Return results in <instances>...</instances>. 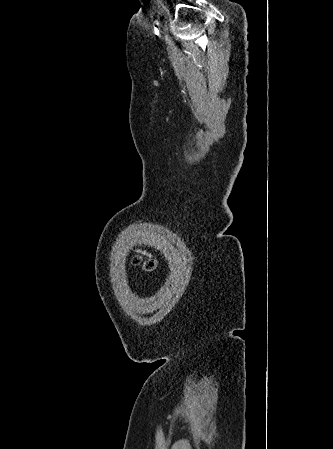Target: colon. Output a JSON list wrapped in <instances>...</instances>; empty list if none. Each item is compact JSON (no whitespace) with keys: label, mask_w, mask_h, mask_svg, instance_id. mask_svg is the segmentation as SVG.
Wrapping results in <instances>:
<instances>
[{"label":"colon","mask_w":333,"mask_h":449,"mask_svg":"<svg viewBox=\"0 0 333 449\" xmlns=\"http://www.w3.org/2000/svg\"><path fill=\"white\" fill-rule=\"evenodd\" d=\"M131 263L136 267H140L142 271L145 273H151L156 268V264L154 261L143 259L142 257L137 255L131 258Z\"/></svg>","instance_id":"1"}]
</instances>
